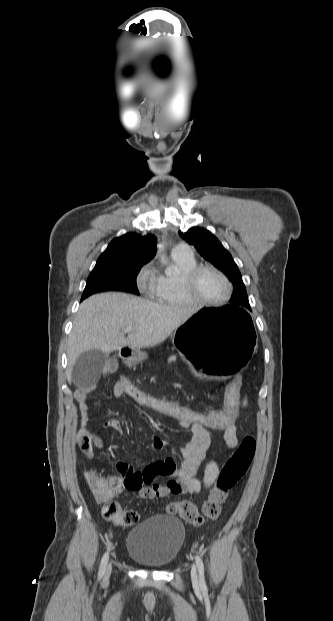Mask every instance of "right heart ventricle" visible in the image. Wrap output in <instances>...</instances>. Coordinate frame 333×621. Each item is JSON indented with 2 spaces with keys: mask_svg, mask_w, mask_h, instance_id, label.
Segmentation results:
<instances>
[{
  "mask_svg": "<svg viewBox=\"0 0 333 621\" xmlns=\"http://www.w3.org/2000/svg\"><path fill=\"white\" fill-rule=\"evenodd\" d=\"M170 262L174 267V272L159 274L156 277V287L152 293V298L164 305H190L191 302L183 291L182 281L183 277L197 266L196 261L193 256L172 253Z\"/></svg>",
  "mask_w": 333,
  "mask_h": 621,
  "instance_id": "obj_1",
  "label": "right heart ventricle"
}]
</instances>
